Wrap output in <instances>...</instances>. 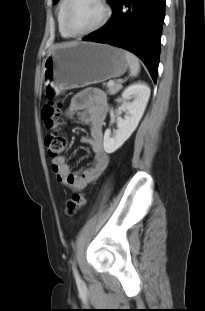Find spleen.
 Returning <instances> with one entry per match:
<instances>
[{
	"label": "spleen",
	"mask_w": 205,
	"mask_h": 311,
	"mask_svg": "<svg viewBox=\"0 0 205 311\" xmlns=\"http://www.w3.org/2000/svg\"><path fill=\"white\" fill-rule=\"evenodd\" d=\"M125 57L130 69L131 76H137L140 71L139 59L132 53L125 51Z\"/></svg>",
	"instance_id": "spleen-1"
}]
</instances>
